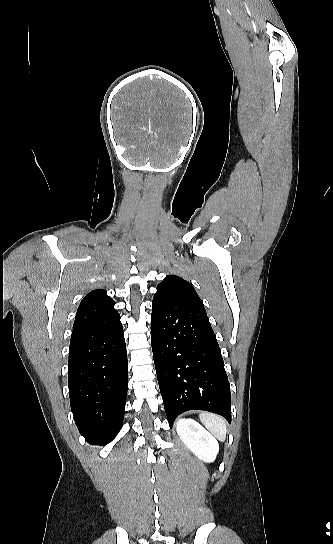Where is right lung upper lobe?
Masks as SVG:
<instances>
[{
	"label": "right lung upper lobe",
	"instance_id": "1",
	"mask_svg": "<svg viewBox=\"0 0 333 544\" xmlns=\"http://www.w3.org/2000/svg\"><path fill=\"white\" fill-rule=\"evenodd\" d=\"M114 305L115 302L107 296L106 290H93L81 301L73 328L117 313Z\"/></svg>",
	"mask_w": 333,
	"mask_h": 544
}]
</instances>
